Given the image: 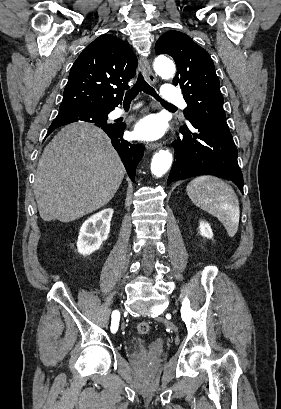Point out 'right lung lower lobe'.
Here are the masks:
<instances>
[{"instance_id":"obj_1","label":"right lung lower lobe","mask_w":281,"mask_h":409,"mask_svg":"<svg viewBox=\"0 0 281 409\" xmlns=\"http://www.w3.org/2000/svg\"><path fill=\"white\" fill-rule=\"evenodd\" d=\"M111 111L112 110L103 109H60L58 117L89 118L95 120L93 123L102 128L110 137L112 145L119 153L127 173L133 181L135 178L136 166L143 156V147L140 144L132 145L123 140V132L126 128L124 123H107V115ZM52 131L49 130V133Z\"/></svg>"}]
</instances>
